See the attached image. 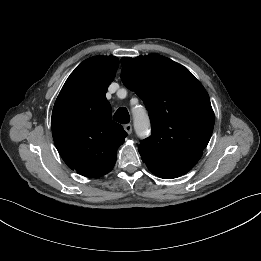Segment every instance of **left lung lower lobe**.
<instances>
[{"instance_id": "1", "label": "left lung lower lobe", "mask_w": 261, "mask_h": 261, "mask_svg": "<svg viewBox=\"0 0 261 261\" xmlns=\"http://www.w3.org/2000/svg\"><path fill=\"white\" fill-rule=\"evenodd\" d=\"M150 171L153 174H155L156 176H158L160 178H164V179H172V178H176V177L181 176V175H177V174H169V173L158 172V171H155V170H150Z\"/></svg>"}]
</instances>
